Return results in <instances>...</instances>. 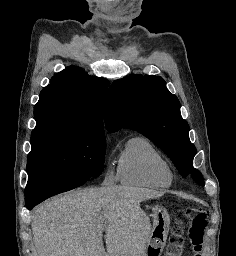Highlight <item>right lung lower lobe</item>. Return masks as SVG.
Returning a JSON list of instances; mask_svg holds the SVG:
<instances>
[{
	"mask_svg": "<svg viewBox=\"0 0 236 256\" xmlns=\"http://www.w3.org/2000/svg\"><path fill=\"white\" fill-rule=\"evenodd\" d=\"M85 182L86 181L77 182L75 184H72V185H69V186H66V187L50 190V191L44 192L42 194H39V195L30 197L28 199H25L26 207L29 210H31L34 206H36L37 204L41 203L45 199H47V198H49V197H51L53 195H56V194H59V193L65 192V191H69L71 189L79 187V186L83 185Z\"/></svg>",
	"mask_w": 236,
	"mask_h": 256,
	"instance_id": "right-lung-lower-lobe-1",
	"label": "right lung lower lobe"
}]
</instances>
